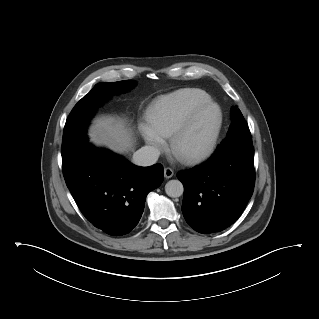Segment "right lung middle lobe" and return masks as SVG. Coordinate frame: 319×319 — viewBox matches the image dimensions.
Returning <instances> with one entry per match:
<instances>
[{"mask_svg":"<svg viewBox=\"0 0 319 319\" xmlns=\"http://www.w3.org/2000/svg\"><path fill=\"white\" fill-rule=\"evenodd\" d=\"M134 84L133 80L99 83L75 105L64 127L62 157L68 155L69 151L86 137V127L97 107L112 94L127 91Z\"/></svg>","mask_w":319,"mask_h":319,"instance_id":"dd1d6c3e","label":"right lung middle lobe"}]
</instances>
